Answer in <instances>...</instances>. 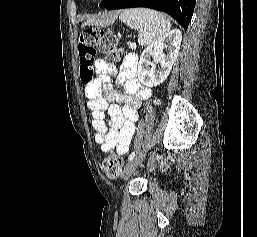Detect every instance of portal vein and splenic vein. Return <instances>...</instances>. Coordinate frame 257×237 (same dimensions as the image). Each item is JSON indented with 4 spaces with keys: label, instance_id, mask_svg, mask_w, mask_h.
<instances>
[{
    "label": "portal vein and splenic vein",
    "instance_id": "portal-vein-and-splenic-vein-1",
    "mask_svg": "<svg viewBox=\"0 0 257 237\" xmlns=\"http://www.w3.org/2000/svg\"><path fill=\"white\" fill-rule=\"evenodd\" d=\"M130 44V47L132 48V49H135L136 48V44L135 43H129Z\"/></svg>",
    "mask_w": 257,
    "mask_h": 237
}]
</instances>
